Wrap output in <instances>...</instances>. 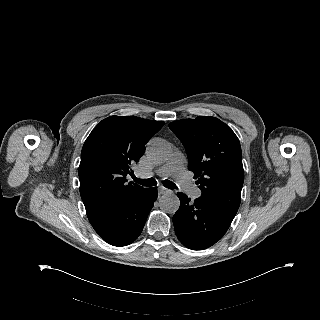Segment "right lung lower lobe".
<instances>
[{"label":"right lung lower lobe","instance_id":"1","mask_svg":"<svg viewBox=\"0 0 320 320\" xmlns=\"http://www.w3.org/2000/svg\"><path fill=\"white\" fill-rule=\"evenodd\" d=\"M156 199V188H144L126 203L88 218L104 241L113 246H126L142 232Z\"/></svg>","mask_w":320,"mask_h":320}]
</instances>
